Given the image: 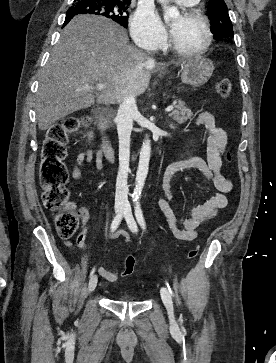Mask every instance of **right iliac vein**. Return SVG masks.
Listing matches in <instances>:
<instances>
[{
  "instance_id": "63e3f726",
  "label": "right iliac vein",
  "mask_w": 276,
  "mask_h": 363,
  "mask_svg": "<svg viewBox=\"0 0 276 363\" xmlns=\"http://www.w3.org/2000/svg\"><path fill=\"white\" fill-rule=\"evenodd\" d=\"M122 210H123V206L122 205H118L115 208L116 214H119ZM96 286H97V276L94 275V276L91 277V279L89 281L88 292L89 293H92L95 290Z\"/></svg>"
}]
</instances>
